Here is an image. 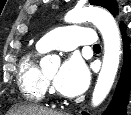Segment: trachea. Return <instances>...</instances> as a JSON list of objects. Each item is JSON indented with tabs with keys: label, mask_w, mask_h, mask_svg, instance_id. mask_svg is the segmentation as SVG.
<instances>
[{
	"label": "trachea",
	"mask_w": 131,
	"mask_h": 115,
	"mask_svg": "<svg viewBox=\"0 0 131 115\" xmlns=\"http://www.w3.org/2000/svg\"><path fill=\"white\" fill-rule=\"evenodd\" d=\"M93 49H100V45H99V44H95V45L93 46Z\"/></svg>",
	"instance_id": "obj_1"
}]
</instances>
